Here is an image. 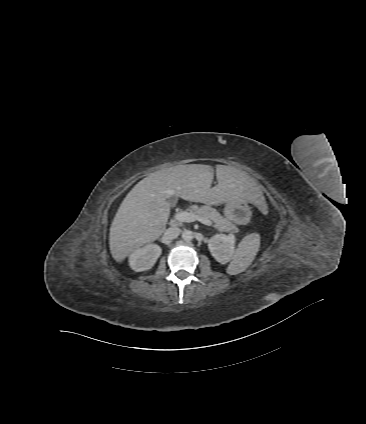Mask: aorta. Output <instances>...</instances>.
<instances>
[{
	"mask_svg": "<svg viewBox=\"0 0 366 424\" xmlns=\"http://www.w3.org/2000/svg\"><path fill=\"white\" fill-rule=\"evenodd\" d=\"M193 238H194V235H193V232L191 230H186L182 234V239L186 242L193 240Z\"/></svg>",
	"mask_w": 366,
	"mask_h": 424,
	"instance_id": "1",
	"label": "aorta"
}]
</instances>
